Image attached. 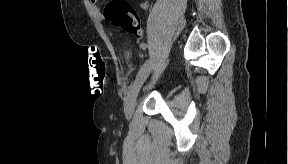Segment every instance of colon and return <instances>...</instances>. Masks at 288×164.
<instances>
[{
  "mask_svg": "<svg viewBox=\"0 0 288 164\" xmlns=\"http://www.w3.org/2000/svg\"><path fill=\"white\" fill-rule=\"evenodd\" d=\"M104 17L108 22L122 27L138 40L144 39L145 33L140 24L139 15L128 1L110 0L105 6Z\"/></svg>",
  "mask_w": 288,
  "mask_h": 164,
  "instance_id": "1",
  "label": "colon"
}]
</instances>
